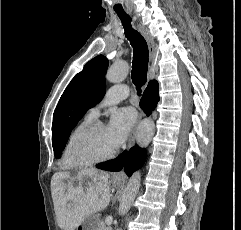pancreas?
Masks as SVG:
<instances>
[{"label": "pancreas", "instance_id": "obj_1", "mask_svg": "<svg viewBox=\"0 0 241 230\" xmlns=\"http://www.w3.org/2000/svg\"><path fill=\"white\" fill-rule=\"evenodd\" d=\"M98 230H111V229L109 227H106L104 222H100Z\"/></svg>", "mask_w": 241, "mask_h": 230}]
</instances>
